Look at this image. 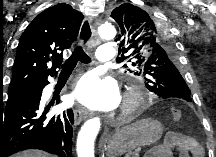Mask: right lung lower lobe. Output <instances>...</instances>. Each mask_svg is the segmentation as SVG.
<instances>
[{
  "instance_id": "1",
  "label": "right lung lower lobe",
  "mask_w": 216,
  "mask_h": 157,
  "mask_svg": "<svg viewBox=\"0 0 216 157\" xmlns=\"http://www.w3.org/2000/svg\"><path fill=\"white\" fill-rule=\"evenodd\" d=\"M48 83L25 89L0 108V157L29 148L72 157L74 114L68 109L47 115L51 104L44 106L41 95Z\"/></svg>"
}]
</instances>
